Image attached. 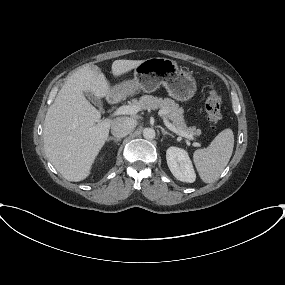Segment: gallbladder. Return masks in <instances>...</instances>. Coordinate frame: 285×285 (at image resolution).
Instances as JSON below:
<instances>
[{
    "label": "gallbladder",
    "mask_w": 285,
    "mask_h": 285,
    "mask_svg": "<svg viewBox=\"0 0 285 285\" xmlns=\"http://www.w3.org/2000/svg\"><path fill=\"white\" fill-rule=\"evenodd\" d=\"M84 95L97 107L100 108V110L102 109V101L97 98L95 95H93L91 92H84Z\"/></svg>",
    "instance_id": "1"
}]
</instances>
